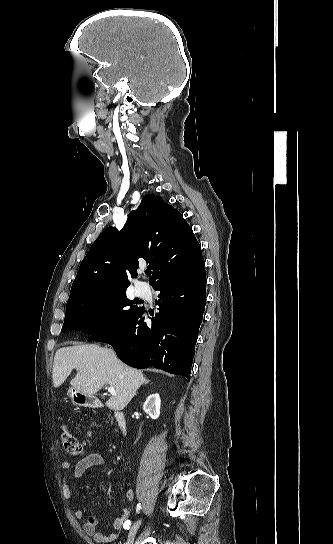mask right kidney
<instances>
[{"label":"right kidney","mask_w":333,"mask_h":544,"mask_svg":"<svg viewBox=\"0 0 333 544\" xmlns=\"http://www.w3.org/2000/svg\"><path fill=\"white\" fill-rule=\"evenodd\" d=\"M160 403L161 400L159 394H152L143 404V410L155 420L160 416Z\"/></svg>","instance_id":"1"}]
</instances>
